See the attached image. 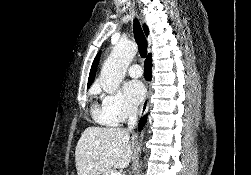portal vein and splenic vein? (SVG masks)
Segmentation results:
<instances>
[{
	"label": "portal vein and splenic vein",
	"mask_w": 251,
	"mask_h": 175,
	"mask_svg": "<svg viewBox=\"0 0 251 175\" xmlns=\"http://www.w3.org/2000/svg\"><path fill=\"white\" fill-rule=\"evenodd\" d=\"M110 175H121L120 171H114V173H110Z\"/></svg>",
	"instance_id": "obj_1"
}]
</instances>
